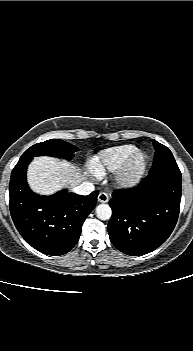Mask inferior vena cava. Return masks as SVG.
<instances>
[{"mask_svg":"<svg viewBox=\"0 0 193 351\" xmlns=\"http://www.w3.org/2000/svg\"><path fill=\"white\" fill-rule=\"evenodd\" d=\"M94 185L91 182H82L79 186L73 188V192L78 195H89L94 191Z\"/></svg>","mask_w":193,"mask_h":351,"instance_id":"1","label":"inferior vena cava"}]
</instances>
